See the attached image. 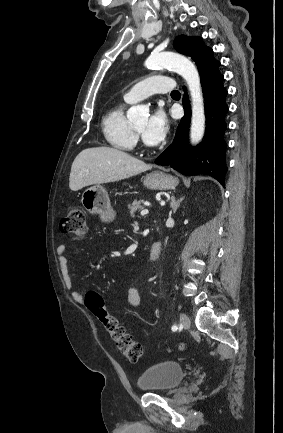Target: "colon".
Returning a JSON list of instances; mask_svg holds the SVG:
<instances>
[{
  "label": "colon",
  "instance_id": "obj_1",
  "mask_svg": "<svg viewBox=\"0 0 283 433\" xmlns=\"http://www.w3.org/2000/svg\"><path fill=\"white\" fill-rule=\"evenodd\" d=\"M60 229L75 239L83 240L88 229L83 208L71 207L67 216L61 220ZM84 304L109 332L119 352L130 362H137L143 354L142 345L136 342L124 327L119 325L116 318L108 314L102 297L97 292L90 291L84 298Z\"/></svg>",
  "mask_w": 283,
  "mask_h": 433
}]
</instances>
